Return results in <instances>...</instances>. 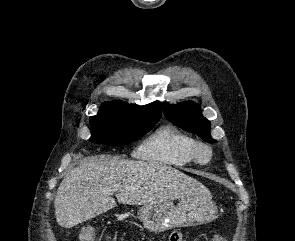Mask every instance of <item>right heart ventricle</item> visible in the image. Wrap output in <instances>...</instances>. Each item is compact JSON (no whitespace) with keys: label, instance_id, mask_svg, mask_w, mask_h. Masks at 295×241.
I'll return each instance as SVG.
<instances>
[{"label":"right heart ventricle","instance_id":"e07e8e85","mask_svg":"<svg viewBox=\"0 0 295 241\" xmlns=\"http://www.w3.org/2000/svg\"><path fill=\"white\" fill-rule=\"evenodd\" d=\"M197 141L178 129L166 126L150 135L137 149L143 160L171 166L183 167L196 162L194 151Z\"/></svg>","mask_w":295,"mask_h":241}]
</instances>
